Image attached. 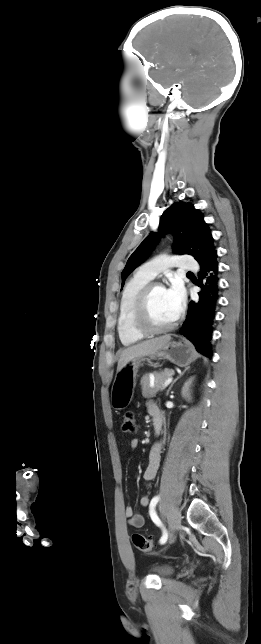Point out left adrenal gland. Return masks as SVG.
<instances>
[{
	"label": "left adrenal gland",
	"instance_id": "obj_1",
	"mask_svg": "<svg viewBox=\"0 0 261 644\" xmlns=\"http://www.w3.org/2000/svg\"><path fill=\"white\" fill-rule=\"evenodd\" d=\"M187 370H188V368H187V369H185V370H184V371H183V372H182V373H181V374H180L176 379H174V380H173V382L171 383L170 387H169V388H168V390H167V393H166V395H167V396L169 395V392H170L171 388L173 387V385L177 382V380H178L181 376H183V375H184V373H185Z\"/></svg>",
	"mask_w": 261,
	"mask_h": 644
}]
</instances>
